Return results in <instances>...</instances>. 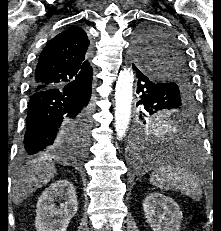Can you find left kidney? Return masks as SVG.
I'll return each instance as SVG.
<instances>
[{"label":"left kidney","instance_id":"left-kidney-1","mask_svg":"<svg viewBox=\"0 0 221 231\" xmlns=\"http://www.w3.org/2000/svg\"><path fill=\"white\" fill-rule=\"evenodd\" d=\"M143 210L153 231H179L183 214L172 198L157 192L151 193L144 200Z\"/></svg>","mask_w":221,"mask_h":231}]
</instances>
